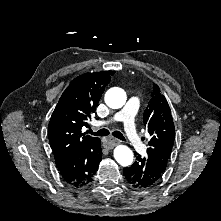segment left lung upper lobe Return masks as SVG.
<instances>
[{"instance_id":"1","label":"left lung upper lobe","mask_w":221,"mask_h":221,"mask_svg":"<svg viewBox=\"0 0 221 221\" xmlns=\"http://www.w3.org/2000/svg\"><path fill=\"white\" fill-rule=\"evenodd\" d=\"M143 121L151 135L147 157L166 168L175 139V128L168 102L156 84L144 111Z\"/></svg>"}]
</instances>
